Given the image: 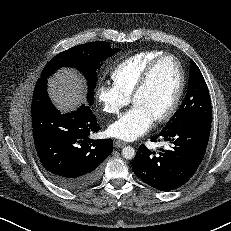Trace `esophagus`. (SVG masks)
I'll return each instance as SVG.
<instances>
[{
    "label": "esophagus",
    "mask_w": 231,
    "mask_h": 231,
    "mask_svg": "<svg viewBox=\"0 0 231 231\" xmlns=\"http://www.w3.org/2000/svg\"><path fill=\"white\" fill-rule=\"evenodd\" d=\"M126 145H127V143L124 142V141H121V140H116L115 143H114V146L116 148H123Z\"/></svg>",
    "instance_id": "1"
}]
</instances>
